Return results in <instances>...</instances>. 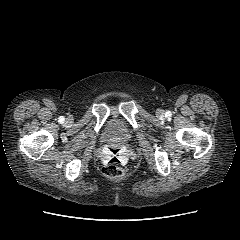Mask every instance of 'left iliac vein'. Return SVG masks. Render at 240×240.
I'll return each instance as SVG.
<instances>
[{"instance_id": "left-iliac-vein-1", "label": "left iliac vein", "mask_w": 240, "mask_h": 240, "mask_svg": "<svg viewBox=\"0 0 240 240\" xmlns=\"http://www.w3.org/2000/svg\"><path fill=\"white\" fill-rule=\"evenodd\" d=\"M156 115H157L158 117H163V116H164V111L161 110V109H158V110L156 111Z\"/></svg>"}]
</instances>
